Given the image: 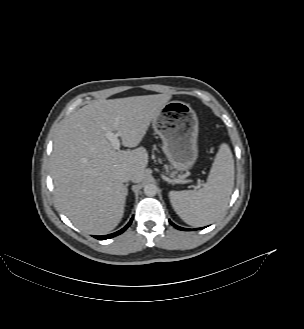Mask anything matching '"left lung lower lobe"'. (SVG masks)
I'll list each match as a JSON object with an SVG mask.
<instances>
[{
  "instance_id": "obj_1",
  "label": "left lung lower lobe",
  "mask_w": 304,
  "mask_h": 329,
  "mask_svg": "<svg viewBox=\"0 0 304 329\" xmlns=\"http://www.w3.org/2000/svg\"><path fill=\"white\" fill-rule=\"evenodd\" d=\"M169 222H170V224H172L175 228H177L179 230H184V231L190 230V229L179 227V226L175 225L174 223H172L170 220H169Z\"/></svg>"
}]
</instances>
